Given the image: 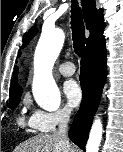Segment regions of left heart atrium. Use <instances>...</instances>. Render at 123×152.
Listing matches in <instances>:
<instances>
[{"mask_svg":"<svg viewBox=\"0 0 123 152\" xmlns=\"http://www.w3.org/2000/svg\"><path fill=\"white\" fill-rule=\"evenodd\" d=\"M63 93L69 106L77 107L80 104L82 100V90L75 80L70 79L64 83Z\"/></svg>","mask_w":123,"mask_h":152,"instance_id":"1","label":"left heart atrium"}]
</instances>
